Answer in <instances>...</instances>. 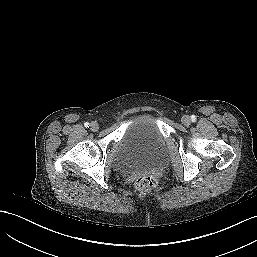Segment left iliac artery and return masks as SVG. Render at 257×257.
<instances>
[{
    "mask_svg": "<svg viewBox=\"0 0 257 257\" xmlns=\"http://www.w3.org/2000/svg\"><path fill=\"white\" fill-rule=\"evenodd\" d=\"M195 119H196V118H195V116L193 115V116H192V121H195Z\"/></svg>",
    "mask_w": 257,
    "mask_h": 257,
    "instance_id": "left-iliac-artery-1",
    "label": "left iliac artery"
}]
</instances>
